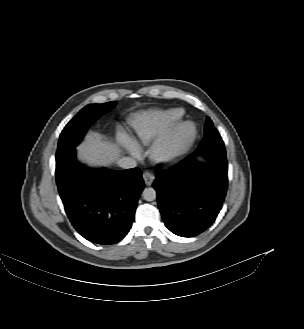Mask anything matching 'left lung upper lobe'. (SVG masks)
<instances>
[{
    "instance_id": "1",
    "label": "left lung upper lobe",
    "mask_w": 304,
    "mask_h": 329,
    "mask_svg": "<svg viewBox=\"0 0 304 329\" xmlns=\"http://www.w3.org/2000/svg\"><path fill=\"white\" fill-rule=\"evenodd\" d=\"M215 128L210 118H207L205 125V135L212 131Z\"/></svg>"
}]
</instances>
